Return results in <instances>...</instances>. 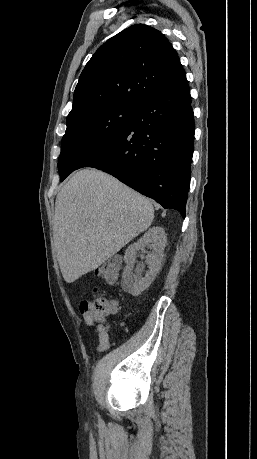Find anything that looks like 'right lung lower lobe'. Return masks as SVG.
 Returning <instances> with one entry per match:
<instances>
[{"label": "right lung lower lobe", "instance_id": "obj_1", "mask_svg": "<svg viewBox=\"0 0 257 459\" xmlns=\"http://www.w3.org/2000/svg\"><path fill=\"white\" fill-rule=\"evenodd\" d=\"M193 142L194 117L184 74L138 104L127 128L78 169L107 172L185 218Z\"/></svg>", "mask_w": 257, "mask_h": 459}]
</instances>
